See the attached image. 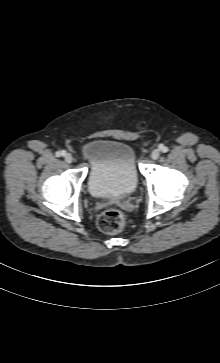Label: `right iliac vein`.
I'll return each instance as SVG.
<instances>
[{"mask_svg":"<svg viewBox=\"0 0 220 363\" xmlns=\"http://www.w3.org/2000/svg\"><path fill=\"white\" fill-rule=\"evenodd\" d=\"M64 159H65V161H66L67 163H71V162L73 161V157H72V155H71L70 153H66V154L64 155Z\"/></svg>","mask_w":220,"mask_h":363,"instance_id":"63e3f726","label":"right iliac vein"}]
</instances>
